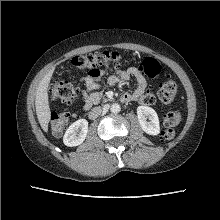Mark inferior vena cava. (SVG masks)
<instances>
[{
    "label": "inferior vena cava",
    "instance_id": "1",
    "mask_svg": "<svg viewBox=\"0 0 220 220\" xmlns=\"http://www.w3.org/2000/svg\"><path fill=\"white\" fill-rule=\"evenodd\" d=\"M93 112H96V113H102V114H104V113H106L107 112V107L105 106L104 108H94L93 109Z\"/></svg>",
    "mask_w": 220,
    "mask_h": 220
}]
</instances>
